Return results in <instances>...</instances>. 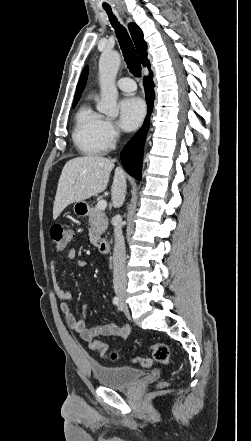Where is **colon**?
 <instances>
[{
  "instance_id": "obj_1",
  "label": "colon",
  "mask_w": 251,
  "mask_h": 441,
  "mask_svg": "<svg viewBox=\"0 0 251 441\" xmlns=\"http://www.w3.org/2000/svg\"><path fill=\"white\" fill-rule=\"evenodd\" d=\"M73 235V231L65 225L57 224L50 229V239L57 250L65 249L73 238ZM89 347L92 351L99 352L103 358H110L112 360L117 358L115 352L111 351L105 344L98 340L92 341ZM150 349L155 361L166 365L171 363V354L167 345L161 343L152 344ZM133 362L142 367H149L152 364L150 359L142 357L134 358ZM161 385H166V383L164 382Z\"/></svg>"
}]
</instances>
